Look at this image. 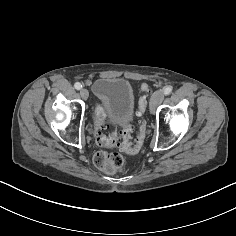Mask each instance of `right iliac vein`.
Returning <instances> with one entry per match:
<instances>
[{"instance_id":"obj_1","label":"right iliac vein","mask_w":236,"mask_h":236,"mask_svg":"<svg viewBox=\"0 0 236 236\" xmlns=\"http://www.w3.org/2000/svg\"><path fill=\"white\" fill-rule=\"evenodd\" d=\"M80 95H81V97H82L83 99H87L88 96H89V92H88L87 89L82 88V89L80 90Z\"/></svg>"}]
</instances>
